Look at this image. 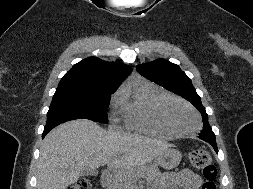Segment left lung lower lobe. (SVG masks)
<instances>
[{"label": "left lung lower lobe", "instance_id": "left-lung-lower-lobe-1", "mask_svg": "<svg viewBox=\"0 0 253 189\" xmlns=\"http://www.w3.org/2000/svg\"><path fill=\"white\" fill-rule=\"evenodd\" d=\"M199 138L207 141L208 143H210L212 145V147L214 148V150L216 151V153L218 152V148L216 145V140H215V136H207L204 134H199Z\"/></svg>", "mask_w": 253, "mask_h": 189}]
</instances>
